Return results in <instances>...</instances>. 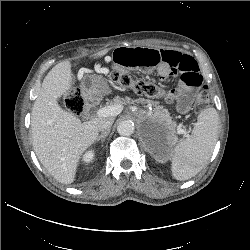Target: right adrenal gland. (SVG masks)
<instances>
[{
	"instance_id": "right-adrenal-gland-1",
	"label": "right adrenal gland",
	"mask_w": 250,
	"mask_h": 250,
	"mask_svg": "<svg viewBox=\"0 0 250 250\" xmlns=\"http://www.w3.org/2000/svg\"><path fill=\"white\" fill-rule=\"evenodd\" d=\"M109 134V131L108 132H105V133H102L98 136V138L96 139L97 142H99L101 140V142L103 143L105 138L108 136Z\"/></svg>"
}]
</instances>
